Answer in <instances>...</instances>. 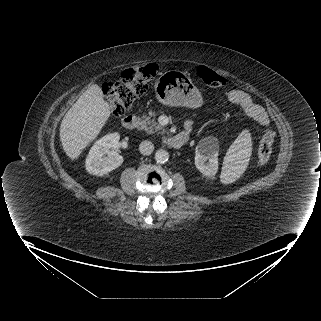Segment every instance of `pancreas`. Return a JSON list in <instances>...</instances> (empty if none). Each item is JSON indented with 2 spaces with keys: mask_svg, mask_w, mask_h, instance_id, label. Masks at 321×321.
I'll use <instances>...</instances> for the list:
<instances>
[{
  "mask_svg": "<svg viewBox=\"0 0 321 321\" xmlns=\"http://www.w3.org/2000/svg\"><path fill=\"white\" fill-rule=\"evenodd\" d=\"M151 116H155V113L152 112L150 116H143L141 119V129L147 132L148 134L154 133H164L165 129L160 126L154 119H151Z\"/></svg>",
  "mask_w": 321,
  "mask_h": 321,
  "instance_id": "1",
  "label": "pancreas"
}]
</instances>
